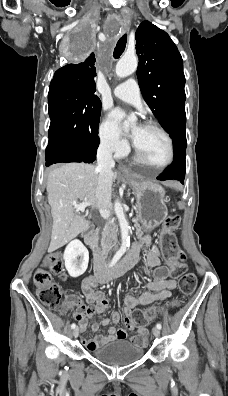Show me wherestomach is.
<instances>
[{"label": "stomach", "mask_w": 228, "mask_h": 396, "mask_svg": "<svg viewBox=\"0 0 228 396\" xmlns=\"http://www.w3.org/2000/svg\"><path fill=\"white\" fill-rule=\"evenodd\" d=\"M125 180L136 197V216L145 232L160 225L167 216L164 202L165 190L159 184L145 181L138 176H126Z\"/></svg>", "instance_id": "0dacf381"}]
</instances>
